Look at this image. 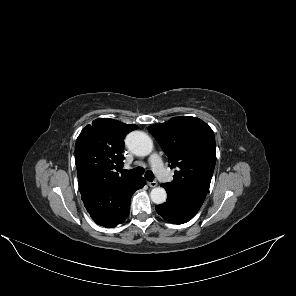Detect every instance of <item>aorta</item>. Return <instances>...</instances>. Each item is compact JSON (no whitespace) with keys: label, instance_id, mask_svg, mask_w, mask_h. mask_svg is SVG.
Here are the masks:
<instances>
[{"label":"aorta","instance_id":"762f6f07","mask_svg":"<svg viewBox=\"0 0 296 296\" xmlns=\"http://www.w3.org/2000/svg\"><path fill=\"white\" fill-rule=\"evenodd\" d=\"M125 143L127 148L137 156H147L153 149L151 138L142 131L130 132ZM150 198L155 204H163L167 199L166 190L162 187H155L150 192Z\"/></svg>","mask_w":296,"mask_h":296}]
</instances>
